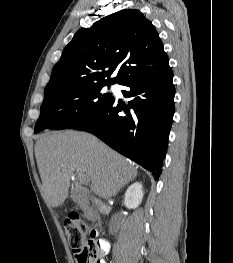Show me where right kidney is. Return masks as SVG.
<instances>
[{
    "label": "right kidney",
    "instance_id": "right-kidney-1",
    "mask_svg": "<svg viewBox=\"0 0 233 263\" xmlns=\"http://www.w3.org/2000/svg\"><path fill=\"white\" fill-rule=\"evenodd\" d=\"M143 187L140 182H135L126 191L124 196V204L128 209L137 208L143 199Z\"/></svg>",
    "mask_w": 233,
    "mask_h": 263
}]
</instances>
